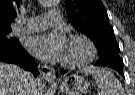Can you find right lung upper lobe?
<instances>
[{
	"mask_svg": "<svg viewBox=\"0 0 135 95\" xmlns=\"http://www.w3.org/2000/svg\"><path fill=\"white\" fill-rule=\"evenodd\" d=\"M20 0H0V30H11V22L17 16Z\"/></svg>",
	"mask_w": 135,
	"mask_h": 95,
	"instance_id": "1",
	"label": "right lung upper lobe"
}]
</instances>
